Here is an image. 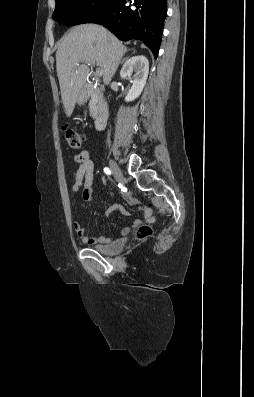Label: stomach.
<instances>
[{"label": "stomach", "instance_id": "0dacf381", "mask_svg": "<svg viewBox=\"0 0 254 397\" xmlns=\"http://www.w3.org/2000/svg\"><path fill=\"white\" fill-rule=\"evenodd\" d=\"M86 100V95L83 91H80V93L78 94V98H77V103L78 104H83Z\"/></svg>", "mask_w": 254, "mask_h": 397}]
</instances>
